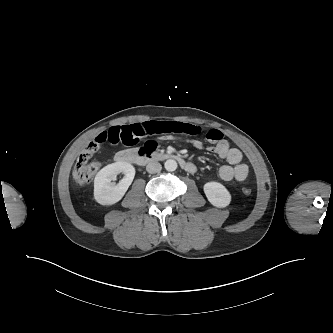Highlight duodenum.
<instances>
[{"instance_id":"duodenum-1","label":"duodenum","mask_w":333,"mask_h":333,"mask_svg":"<svg viewBox=\"0 0 333 333\" xmlns=\"http://www.w3.org/2000/svg\"><path fill=\"white\" fill-rule=\"evenodd\" d=\"M117 160L123 163L138 165H145L156 161L174 160L177 161L184 170L189 171L191 169V164L176 153H160L146 150L127 149L118 154Z\"/></svg>"}]
</instances>
